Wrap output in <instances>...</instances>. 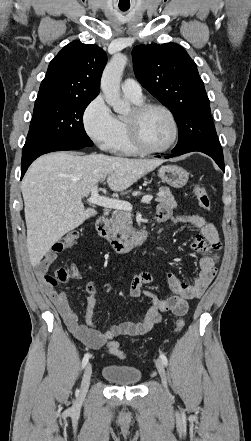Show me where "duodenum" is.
<instances>
[{
  "label": "duodenum",
  "mask_w": 251,
  "mask_h": 441,
  "mask_svg": "<svg viewBox=\"0 0 251 441\" xmlns=\"http://www.w3.org/2000/svg\"><path fill=\"white\" fill-rule=\"evenodd\" d=\"M95 225L98 234L106 239L117 253H127L133 248L143 245L147 240V235L144 233L137 234L129 240L116 237L110 231L108 221L104 216L99 217Z\"/></svg>",
  "instance_id": "410a0bca"
}]
</instances>
